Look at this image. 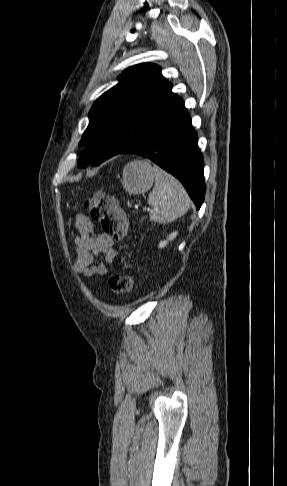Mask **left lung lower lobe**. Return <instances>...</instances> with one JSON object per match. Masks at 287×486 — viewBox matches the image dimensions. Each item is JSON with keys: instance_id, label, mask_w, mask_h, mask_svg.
Masks as SVG:
<instances>
[{"instance_id": "0a47b994", "label": "left lung lower lobe", "mask_w": 287, "mask_h": 486, "mask_svg": "<svg viewBox=\"0 0 287 486\" xmlns=\"http://www.w3.org/2000/svg\"><path fill=\"white\" fill-rule=\"evenodd\" d=\"M183 100L129 153L148 158L178 178L199 209L204 201L203 156Z\"/></svg>"}]
</instances>
